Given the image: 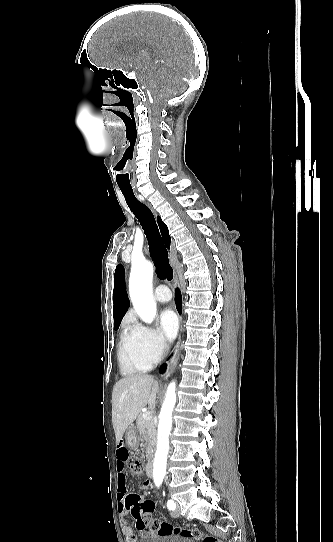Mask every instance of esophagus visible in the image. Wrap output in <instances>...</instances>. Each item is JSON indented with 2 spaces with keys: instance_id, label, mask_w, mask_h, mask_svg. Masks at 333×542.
Returning a JSON list of instances; mask_svg holds the SVG:
<instances>
[{
  "instance_id": "obj_1",
  "label": "esophagus",
  "mask_w": 333,
  "mask_h": 542,
  "mask_svg": "<svg viewBox=\"0 0 333 542\" xmlns=\"http://www.w3.org/2000/svg\"><path fill=\"white\" fill-rule=\"evenodd\" d=\"M178 279V276H177V273L175 272V280ZM179 345H180V341L178 343V347H177V350L174 354V357H173V360L169 362V369L172 370L174 367H176L177 363H178V360H179V356H180V353H179Z\"/></svg>"
}]
</instances>
